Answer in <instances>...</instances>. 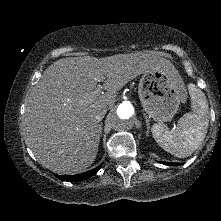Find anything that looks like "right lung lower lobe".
I'll use <instances>...</instances> for the list:
<instances>
[{
	"label": "right lung lower lobe",
	"mask_w": 221,
	"mask_h": 221,
	"mask_svg": "<svg viewBox=\"0 0 221 221\" xmlns=\"http://www.w3.org/2000/svg\"><path fill=\"white\" fill-rule=\"evenodd\" d=\"M102 165L96 167L95 169L93 170H90L86 173H83V174H79V175H67V176H61V175H56L55 176L62 180V181H70V182H76V181H81V180H84V179H87L91 176H93L94 174L97 173V171L101 168Z\"/></svg>",
	"instance_id": "1"
}]
</instances>
